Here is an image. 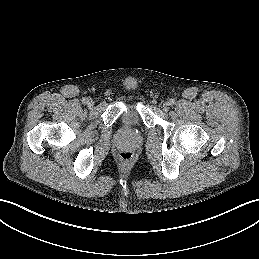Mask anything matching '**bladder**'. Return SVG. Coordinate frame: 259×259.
Masks as SVG:
<instances>
[{"label": "bladder", "instance_id": "31cf9c89", "mask_svg": "<svg viewBox=\"0 0 259 259\" xmlns=\"http://www.w3.org/2000/svg\"><path fill=\"white\" fill-rule=\"evenodd\" d=\"M124 119L129 122H137L139 120V115L135 110L129 109L125 114Z\"/></svg>", "mask_w": 259, "mask_h": 259}]
</instances>
